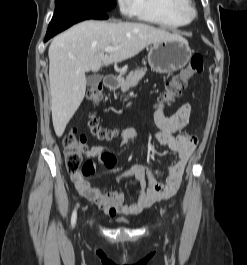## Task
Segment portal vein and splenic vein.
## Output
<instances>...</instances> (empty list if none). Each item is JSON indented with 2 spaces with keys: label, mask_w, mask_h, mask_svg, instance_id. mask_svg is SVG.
<instances>
[{
  "label": "portal vein and splenic vein",
  "mask_w": 247,
  "mask_h": 265,
  "mask_svg": "<svg viewBox=\"0 0 247 265\" xmlns=\"http://www.w3.org/2000/svg\"><path fill=\"white\" fill-rule=\"evenodd\" d=\"M117 49V47H113V46H107V47H105V51L106 52H111V51H114V50H116Z\"/></svg>",
  "instance_id": "18ae733b"
}]
</instances>
